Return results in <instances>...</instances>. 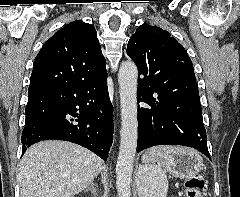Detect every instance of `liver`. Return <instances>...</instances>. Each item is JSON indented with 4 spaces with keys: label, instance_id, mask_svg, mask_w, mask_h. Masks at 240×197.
<instances>
[{
    "label": "liver",
    "instance_id": "1",
    "mask_svg": "<svg viewBox=\"0 0 240 197\" xmlns=\"http://www.w3.org/2000/svg\"><path fill=\"white\" fill-rule=\"evenodd\" d=\"M101 169L102 160L80 145L58 140L36 143L19 164L20 197H74Z\"/></svg>",
    "mask_w": 240,
    "mask_h": 197
}]
</instances>
